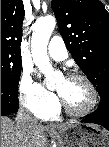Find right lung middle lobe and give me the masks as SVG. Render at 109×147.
Returning <instances> with one entry per match:
<instances>
[{
    "mask_svg": "<svg viewBox=\"0 0 109 147\" xmlns=\"http://www.w3.org/2000/svg\"><path fill=\"white\" fill-rule=\"evenodd\" d=\"M21 68V53L11 52L1 48V86L18 90Z\"/></svg>",
    "mask_w": 109,
    "mask_h": 147,
    "instance_id": "1",
    "label": "right lung middle lobe"
}]
</instances>
